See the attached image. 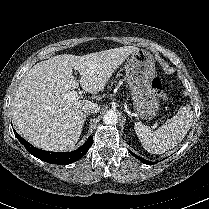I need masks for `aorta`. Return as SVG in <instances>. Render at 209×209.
<instances>
[{
    "instance_id": "1",
    "label": "aorta",
    "mask_w": 209,
    "mask_h": 209,
    "mask_svg": "<svg viewBox=\"0 0 209 209\" xmlns=\"http://www.w3.org/2000/svg\"><path fill=\"white\" fill-rule=\"evenodd\" d=\"M103 122L107 125H115L118 123V115L116 112L109 111L107 114L103 117Z\"/></svg>"
}]
</instances>
